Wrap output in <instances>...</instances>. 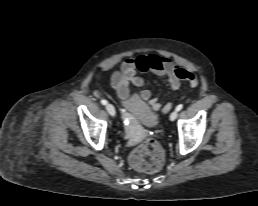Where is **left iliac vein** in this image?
<instances>
[{"label":"left iliac vein","instance_id":"obj_1","mask_svg":"<svg viewBox=\"0 0 258 206\" xmlns=\"http://www.w3.org/2000/svg\"><path fill=\"white\" fill-rule=\"evenodd\" d=\"M178 116V111H173L171 114H170V120L171 121H174Z\"/></svg>","mask_w":258,"mask_h":206}]
</instances>
